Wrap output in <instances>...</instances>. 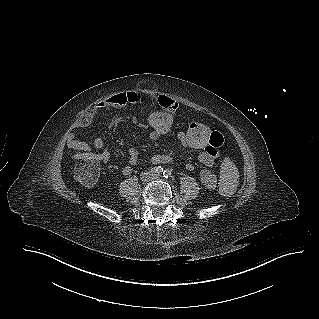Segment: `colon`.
I'll return each mask as SVG.
<instances>
[{
	"mask_svg": "<svg viewBox=\"0 0 319 319\" xmlns=\"http://www.w3.org/2000/svg\"><path fill=\"white\" fill-rule=\"evenodd\" d=\"M150 127L157 134H166L173 127V117L163 110L155 111L150 117ZM212 126L206 121L188 123L182 133L184 143L193 149L203 150L210 144ZM77 165L74 169V178L85 186H92L98 179L100 166L97 158L88 150L76 154ZM237 169L230 158H225L221 165V179L219 192L230 195L237 185Z\"/></svg>",
	"mask_w": 319,
	"mask_h": 319,
	"instance_id": "colon-1",
	"label": "colon"
}]
</instances>
